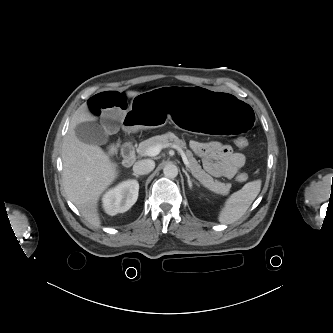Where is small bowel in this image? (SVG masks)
Masks as SVG:
<instances>
[{"instance_id":"1","label":"small bowel","mask_w":333,"mask_h":333,"mask_svg":"<svg viewBox=\"0 0 333 333\" xmlns=\"http://www.w3.org/2000/svg\"><path fill=\"white\" fill-rule=\"evenodd\" d=\"M128 107V96L120 91H105L91 97L86 104L88 113L100 117L107 128L113 129ZM192 151L202 158L204 169L214 177L232 178L244 166L246 158L219 142L191 141Z\"/></svg>"}]
</instances>
